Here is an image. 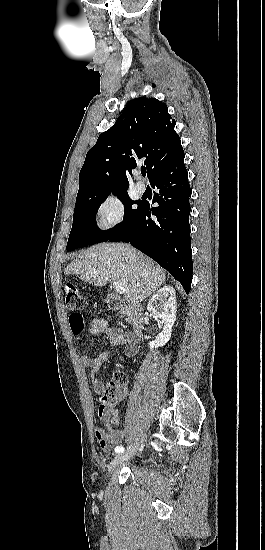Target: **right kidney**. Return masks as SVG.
Masks as SVG:
<instances>
[{
  "instance_id": "1",
  "label": "right kidney",
  "mask_w": 265,
  "mask_h": 550,
  "mask_svg": "<svg viewBox=\"0 0 265 550\" xmlns=\"http://www.w3.org/2000/svg\"><path fill=\"white\" fill-rule=\"evenodd\" d=\"M147 310L164 323L162 332L154 341L149 342V348L153 350L164 346L171 338L177 310L175 289L170 285L159 289L150 299Z\"/></svg>"
}]
</instances>
